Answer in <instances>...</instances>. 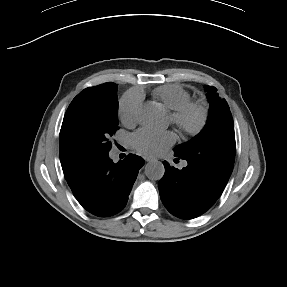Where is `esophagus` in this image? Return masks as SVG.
I'll list each match as a JSON object with an SVG mask.
<instances>
[{
  "mask_svg": "<svg viewBox=\"0 0 287 287\" xmlns=\"http://www.w3.org/2000/svg\"><path fill=\"white\" fill-rule=\"evenodd\" d=\"M144 159H145L146 162L151 161V159L149 157H145Z\"/></svg>",
  "mask_w": 287,
  "mask_h": 287,
  "instance_id": "1",
  "label": "esophagus"
}]
</instances>
